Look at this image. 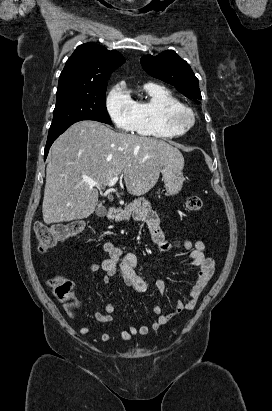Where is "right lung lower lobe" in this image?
I'll list each match as a JSON object with an SVG mask.
<instances>
[{"mask_svg": "<svg viewBox=\"0 0 272 411\" xmlns=\"http://www.w3.org/2000/svg\"><path fill=\"white\" fill-rule=\"evenodd\" d=\"M57 137H58V136H57ZM57 137L47 139V144H46V146H45V152H44V159H46V157H47V155H48V151H49L52 143L56 140Z\"/></svg>", "mask_w": 272, "mask_h": 411, "instance_id": "obj_1", "label": "right lung lower lobe"}]
</instances>
